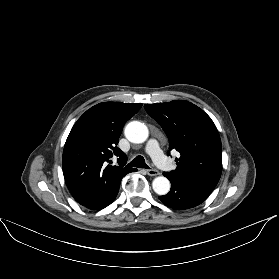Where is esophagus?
<instances>
[{
	"mask_svg": "<svg viewBox=\"0 0 279 279\" xmlns=\"http://www.w3.org/2000/svg\"><path fill=\"white\" fill-rule=\"evenodd\" d=\"M146 173L149 175V176H157L159 175V171L156 170V169H147L146 170Z\"/></svg>",
	"mask_w": 279,
	"mask_h": 279,
	"instance_id": "1",
	"label": "esophagus"
}]
</instances>
